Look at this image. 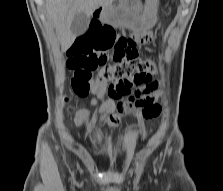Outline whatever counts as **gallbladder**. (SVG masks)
<instances>
[{"label":"gallbladder","instance_id":"1","mask_svg":"<svg viewBox=\"0 0 223 191\" xmlns=\"http://www.w3.org/2000/svg\"><path fill=\"white\" fill-rule=\"evenodd\" d=\"M90 18L84 13H77L71 23V31L75 35L83 34L89 25Z\"/></svg>","mask_w":223,"mask_h":191}]
</instances>
